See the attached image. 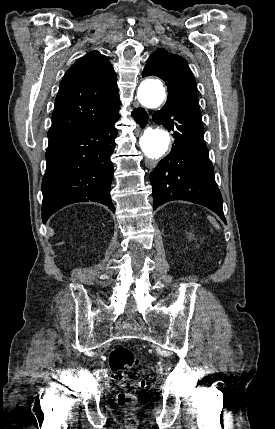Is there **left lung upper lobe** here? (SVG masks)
Wrapping results in <instances>:
<instances>
[{"label": "left lung upper lobe", "mask_w": 275, "mask_h": 429, "mask_svg": "<svg viewBox=\"0 0 275 429\" xmlns=\"http://www.w3.org/2000/svg\"><path fill=\"white\" fill-rule=\"evenodd\" d=\"M155 75L161 78L168 88L167 102H177L196 107V80L182 57L161 48L153 52L147 60L142 76Z\"/></svg>", "instance_id": "5c2ea615"}]
</instances>
